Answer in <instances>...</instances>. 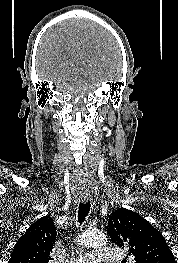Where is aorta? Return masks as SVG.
I'll use <instances>...</instances> for the list:
<instances>
[{
  "label": "aorta",
  "mask_w": 178,
  "mask_h": 263,
  "mask_svg": "<svg viewBox=\"0 0 178 263\" xmlns=\"http://www.w3.org/2000/svg\"><path fill=\"white\" fill-rule=\"evenodd\" d=\"M106 242L105 234L99 231H86L78 239V243L84 246H102Z\"/></svg>",
  "instance_id": "762f6f07"
}]
</instances>
